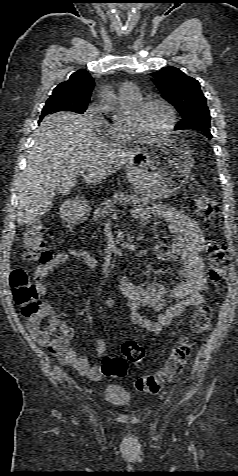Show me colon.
I'll use <instances>...</instances> for the list:
<instances>
[{
  "instance_id": "5ec220e1",
  "label": "colon",
  "mask_w": 238,
  "mask_h": 476,
  "mask_svg": "<svg viewBox=\"0 0 238 476\" xmlns=\"http://www.w3.org/2000/svg\"><path fill=\"white\" fill-rule=\"evenodd\" d=\"M194 211L198 220L209 223L217 216L218 206L212 198L203 192H197L194 196ZM45 236V229L38 224L28 231L23 251L25 261L46 262L52 257ZM205 247L209 280L213 286L217 287L225 277L229 252L224 243L214 238L207 239ZM10 285L15 304L26 320L31 334L53 353H58L67 347L71 330L66 327H44V322L50 315L49 309L40 301L36 286L28 274L22 269L14 270L10 275ZM211 317L212 312L209 307H198L191 317L192 330L195 333L207 332L211 327ZM191 347L192 341L189 337L184 336L178 339L164 366L155 373L139 377L136 387L150 394L159 392L166 383L182 373L189 360ZM122 353L121 357L104 358L102 363L104 375L124 377L128 363L141 366L145 361V349L136 342L124 343Z\"/></svg>"
}]
</instances>
